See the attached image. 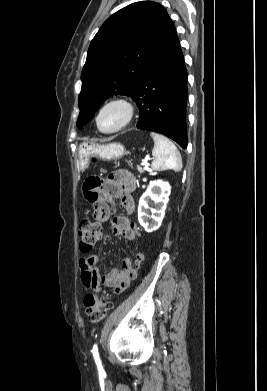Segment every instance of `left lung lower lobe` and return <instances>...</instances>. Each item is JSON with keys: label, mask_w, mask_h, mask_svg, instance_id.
Segmentation results:
<instances>
[{"label": "left lung lower lobe", "mask_w": 267, "mask_h": 391, "mask_svg": "<svg viewBox=\"0 0 267 391\" xmlns=\"http://www.w3.org/2000/svg\"><path fill=\"white\" fill-rule=\"evenodd\" d=\"M187 71L177 35L153 60L131 95L140 108L138 129L161 133L187 147Z\"/></svg>", "instance_id": "1"}]
</instances>
